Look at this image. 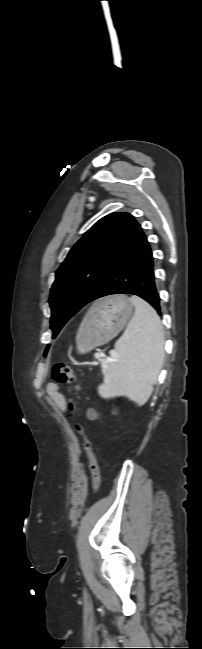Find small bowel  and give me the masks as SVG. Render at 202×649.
I'll list each match as a JSON object with an SVG mask.
<instances>
[{
  "label": "small bowel",
  "instance_id": "c3829d8e",
  "mask_svg": "<svg viewBox=\"0 0 202 649\" xmlns=\"http://www.w3.org/2000/svg\"><path fill=\"white\" fill-rule=\"evenodd\" d=\"M47 392L53 403L61 410L65 409V397L60 391V388L55 383H50L47 387Z\"/></svg>",
  "mask_w": 202,
  "mask_h": 649
}]
</instances>
